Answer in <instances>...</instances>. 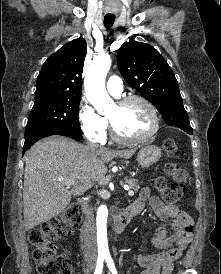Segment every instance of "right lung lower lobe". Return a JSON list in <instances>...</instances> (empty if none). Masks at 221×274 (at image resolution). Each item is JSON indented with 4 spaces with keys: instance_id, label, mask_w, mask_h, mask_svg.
<instances>
[{
    "instance_id": "right-lung-lower-lobe-1",
    "label": "right lung lower lobe",
    "mask_w": 221,
    "mask_h": 274,
    "mask_svg": "<svg viewBox=\"0 0 221 274\" xmlns=\"http://www.w3.org/2000/svg\"><path fill=\"white\" fill-rule=\"evenodd\" d=\"M51 135H62V136H67L76 140L82 139V134H78L72 131H67V130H62V129H51V130H46L42 131L39 133H36L32 136L26 137L25 138V143L23 147V154L28 150L35 142L38 140L51 136Z\"/></svg>"
}]
</instances>
